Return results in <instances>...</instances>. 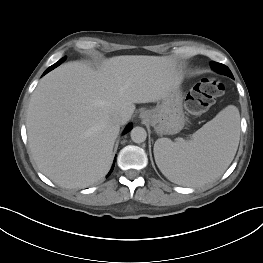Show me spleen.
Segmentation results:
<instances>
[{
	"mask_svg": "<svg viewBox=\"0 0 263 263\" xmlns=\"http://www.w3.org/2000/svg\"><path fill=\"white\" fill-rule=\"evenodd\" d=\"M240 139V114L229 105L197 130L190 141L157 139L154 157L163 175L188 187L219 178L232 162Z\"/></svg>",
	"mask_w": 263,
	"mask_h": 263,
	"instance_id": "spleen-1",
	"label": "spleen"
}]
</instances>
